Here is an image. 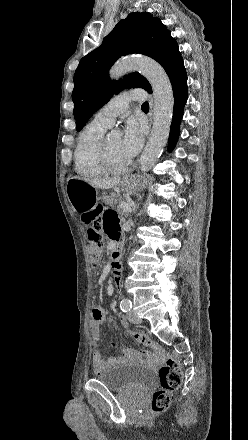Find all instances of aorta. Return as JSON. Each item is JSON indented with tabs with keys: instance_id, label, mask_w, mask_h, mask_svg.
I'll return each instance as SVG.
<instances>
[{
	"instance_id": "762f6f07",
	"label": "aorta",
	"mask_w": 248,
	"mask_h": 440,
	"mask_svg": "<svg viewBox=\"0 0 248 440\" xmlns=\"http://www.w3.org/2000/svg\"><path fill=\"white\" fill-rule=\"evenodd\" d=\"M139 71L150 83L154 96V122L150 137L140 157V169L148 172L161 156L169 137L173 116L174 96L171 82L164 69L148 57H126L110 70L118 79L128 72Z\"/></svg>"
}]
</instances>
